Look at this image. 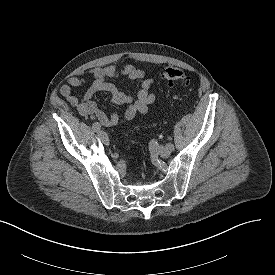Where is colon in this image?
<instances>
[{"instance_id": "colon-1", "label": "colon", "mask_w": 275, "mask_h": 275, "mask_svg": "<svg viewBox=\"0 0 275 275\" xmlns=\"http://www.w3.org/2000/svg\"><path fill=\"white\" fill-rule=\"evenodd\" d=\"M160 79L168 84L181 83L189 85L191 78L180 68L167 67L160 72Z\"/></svg>"}]
</instances>
